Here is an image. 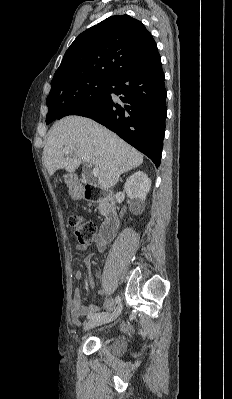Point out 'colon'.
Returning a JSON list of instances; mask_svg holds the SVG:
<instances>
[{"label":"colon","instance_id":"1","mask_svg":"<svg viewBox=\"0 0 232 399\" xmlns=\"http://www.w3.org/2000/svg\"><path fill=\"white\" fill-rule=\"evenodd\" d=\"M82 220H84V215H79V219L68 215V228L74 229V236H77L79 244H92V236L95 232L94 222H82Z\"/></svg>","mask_w":232,"mask_h":399}]
</instances>
